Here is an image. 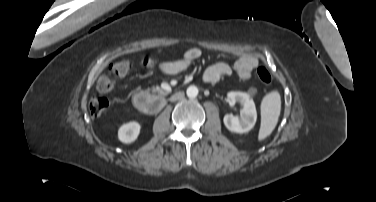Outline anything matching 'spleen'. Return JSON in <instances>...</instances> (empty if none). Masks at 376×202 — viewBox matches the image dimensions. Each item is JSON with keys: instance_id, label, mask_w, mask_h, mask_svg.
<instances>
[{"instance_id": "3e777b00", "label": "spleen", "mask_w": 376, "mask_h": 202, "mask_svg": "<svg viewBox=\"0 0 376 202\" xmlns=\"http://www.w3.org/2000/svg\"><path fill=\"white\" fill-rule=\"evenodd\" d=\"M281 100L277 91L267 94L261 104V126L258 139L261 141L274 130L280 115Z\"/></svg>"}]
</instances>
